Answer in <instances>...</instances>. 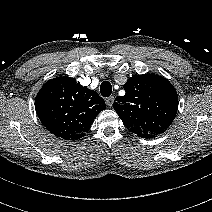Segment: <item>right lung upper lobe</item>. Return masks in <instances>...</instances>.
<instances>
[{
    "label": "right lung upper lobe",
    "mask_w": 212,
    "mask_h": 212,
    "mask_svg": "<svg viewBox=\"0 0 212 212\" xmlns=\"http://www.w3.org/2000/svg\"><path fill=\"white\" fill-rule=\"evenodd\" d=\"M35 108L46 129L57 137L74 141L89 131L106 104L97 92L63 76L43 85L36 96Z\"/></svg>",
    "instance_id": "1"
}]
</instances>
